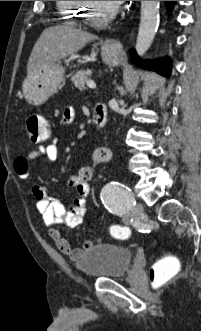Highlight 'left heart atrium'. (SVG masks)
<instances>
[{"label":"left heart atrium","instance_id":"39dd6f15","mask_svg":"<svg viewBox=\"0 0 201 331\" xmlns=\"http://www.w3.org/2000/svg\"><path fill=\"white\" fill-rule=\"evenodd\" d=\"M107 2H109L113 7H117L123 3V1H107Z\"/></svg>","mask_w":201,"mask_h":331}]
</instances>
